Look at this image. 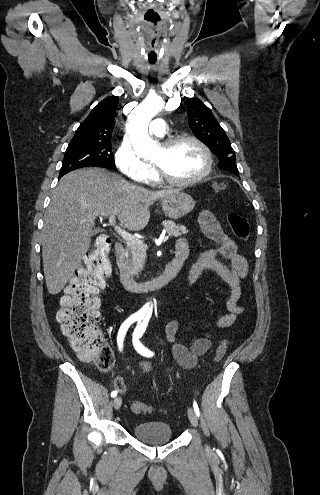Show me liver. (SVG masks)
<instances>
[{"label": "liver", "instance_id": "6515ba94", "mask_svg": "<svg viewBox=\"0 0 320 495\" xmlns=\"http://www.w3.org/2000/svg\"><path fill=\"white\" fill-rule=\"evenodd\" d=\"M176 191H150L101 168L64 175L44 215L42 257L48 292H61L79 267L96 232L97 216L115 215L127 229L140 231L149 222V207Z\"/></svg>", "mask_w": 320, "mask_h": 495}]
</instances>
